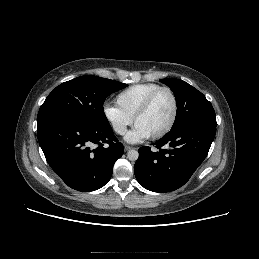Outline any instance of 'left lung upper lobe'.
<instances>
[{"mask_svg":"<svg viewBox=\"0 0 259 259\" xmlns=\"http://www.w3.org/2000/svg\"><path fill=\"white\" fill-rule=\"evenodd\" d=\"M173 91L177 113L172 126L200 121L217 125L215 111L206 97L193 86L179 79H161Z\"/></svg>","mask_w":259,"mask_h":259,"instance_id":"left-lung-upper-lobe-1","label":"left lung upper lobe"}]
</instances>
